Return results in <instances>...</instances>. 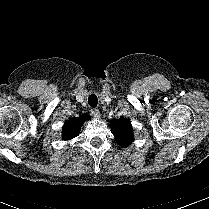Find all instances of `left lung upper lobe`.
<instances>
[{
	"mask_svg": "<svg viewBox=\"0 0 209 209\" xmlns=\"http://www.w3.org/2000/svg\"><path fill=\"white\" fill-rule=\"evenodd\" d=\"M110 127L113 135L122 147H127L133 141V130L129 119L120 118L110 121Z\"/></svg>",
	"mask_w": 209,
	"mask_h": 209,
	"instance_id": "left-lung-upper-lobe-1",
	"label": "left lung upper lobe"
}]
</instances>
